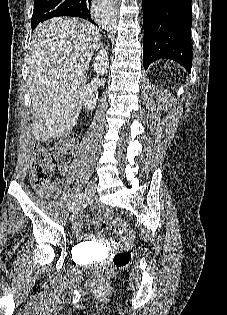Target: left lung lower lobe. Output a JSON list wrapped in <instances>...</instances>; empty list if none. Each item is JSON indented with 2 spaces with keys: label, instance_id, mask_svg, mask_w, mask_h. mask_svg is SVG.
<instances>
[{
  "label": "left lung lower lobe",
  "instance_id": "left-lung-lower-lobe-1",
  "mask_svg": "<svg viewBox=\"0 0 227 315\" xmlns=\"http://www.w3.org/2000/svg\"><path fill=\"white\" fill-rule=\"evenodd\" d=\"M145 69L160 58L191 71V0H142Z\"/></svg>",
  "mask_w": 227,
  "mask_h": 315
}]
</instances>
